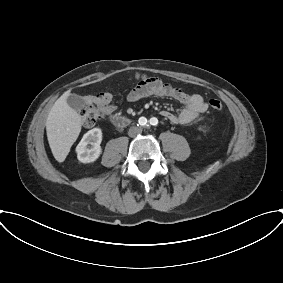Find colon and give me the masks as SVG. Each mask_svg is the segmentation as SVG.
<instances>
[{
  "mask_svg": "<svg viewBox=\"0 0 283 283\" xmlns=\"http://www.w3.org/2000/svg\"><path fill=\"white\" fill-rule=\"evenodd\" d=\"M148 82L156 84L158 80L153 77L145 78ZM209 107L213 111H221L223 104L219 99L212 98L208 101ZM103 116V111L93 105L86 106L82 111L83 123L87 127H93Z\"/></svg>",
  "mask_w": 283,
  "mask_h": 283,
  "instance_id": "obj_1",
  "label": "colon"
}]
</instances>
